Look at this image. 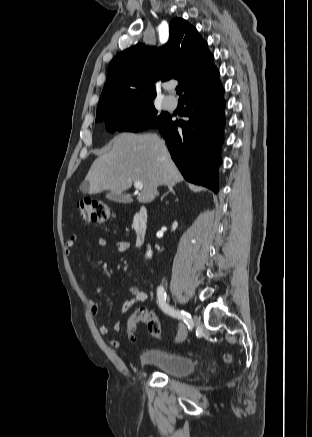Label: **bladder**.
<instances>
[{
  "mask_svg": "<svg viewBox=\"0 0 312 437\" xmlns=\"http://www.w3.org/2000/svg\"><path fill=\"white\" fill-rule=\"evenodd\" d=\"M143 367L151 368L174 378L192 374L196 368L195 361L186 355L164 352L157 348L146 349L140 356Z\"/></svg>",
  "mask_w": 312,
  "mask_h": 437,
  "instance_id": "bladder-1",
  "label": "bladder"
}]
</instances>
